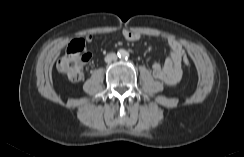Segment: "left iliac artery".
I'll list each match as a JSON object with an SVG mask.
<instances>
[{"instance_id": "44dca946", "label": "left iliac artery", "mask_w": 244, "mask_h": 157, "mask_svg": "<svg viewBox=\"0 0 244 157\" xmlns=\"http://www.w3.org/2000/svg\"><path fill=\"white\" fill-rule=\"evenodd\" d=\"M124 57H125V59H127L129 57V54L128 53H125L124 54Z\"/></svg>"}]
</instances>
